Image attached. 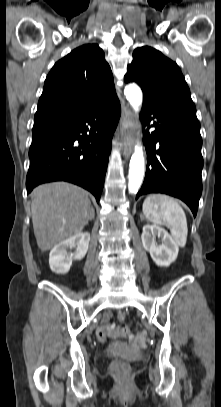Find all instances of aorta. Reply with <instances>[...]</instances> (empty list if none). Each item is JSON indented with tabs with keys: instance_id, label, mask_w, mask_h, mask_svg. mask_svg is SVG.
<instances>
[{
	"instance_id": "aorta-1",
	"label": "aorta",
	"mask_w": 221,
	"mask_h": 407,
	"mask_svg": "<svg viewBox=\"0 0 221 407\" xmlns=\"http://www.w3.org/2000/svg\"><path fill=\"white\" fill-rule=\"evenodd\" d=\"M126 99L129 101L135 112H138L142 105V91L136 84H129L124 89ZM145 170L143 151L140 145L135 146L131 156L128 175V190L135 194L141 187Z\"/></svg>"
}]
</instances>
